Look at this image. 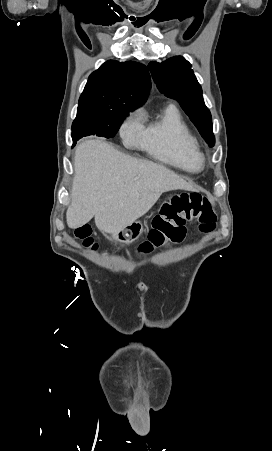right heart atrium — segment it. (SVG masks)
<instances>
[{
  "label": "right heart atrium",
  "instance_id": "d8ad5b80",
  "mask_svg": "<svg viewBox=\"0 0 272 451\" xmlns=\"http://www.w3.org/2000/svg\"><path fill=\"white\" fill-rule=\"evenodd\" d=\"M142 133L140 114L135 113L123 124L121 135L125 142L132 143L138 140Z\"/></svg>",
  "mask_w": 272,
  "mask_h": 451
}]
</instances>
